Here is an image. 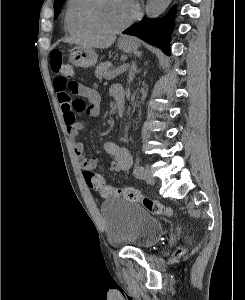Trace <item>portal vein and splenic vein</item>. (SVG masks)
I'll use <instances>...</instances> for the list:
<instances>
[{
	"label": "portal vein and splenic vein",
	"mask_w": 245,
	"mask_h": 300,
	"mask_svg": "<svg viewBox=\"0 0 245 300\" xmlns=\"http://www.w3.org/2000/svg\"><path fill=\"white\" fill-rule=\"evenodd\" d=\"M127 65H122L120 67H118L117 69H115L112 73H111V77H116L122 73H124L126 71Z\"/></svg>",
	"instance_id": "18ae733b"
}]
</instances>
